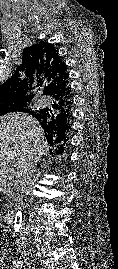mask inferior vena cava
<instances>
[{"mask_svg":"<svg viewBox=\"0 0 118 269\" xmlns=\"http://www.w3.org/2000/svg\"><path fill=\"white\" fill-rule=\"evenodd\" d=\"M34 165L32 162L24 161L19 165L18 171L15 173V185L17 188L16 202L19 208L23 207V194L34 172Z\"/></svg>","mask_w":118,"mask_h":269,"instance_id":"602c4592","label":"inferior vena cava"}]
</instances>
